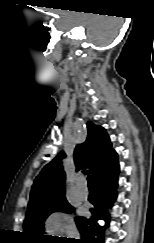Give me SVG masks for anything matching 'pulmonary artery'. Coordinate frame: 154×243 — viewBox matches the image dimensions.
I'll return each mask as SVG.
<instances>
[{
  "mask_svg": "<svg viewBox=\"0 0 154 243\" xmlns=\"http://www.w3.org/2000/svg\"><path fill=\"white\" fill-rule=\"evenodd\" d=\"M76 195L80 199H86L87 196H88V190H87V188H85L84 186L78 185L76 187Z\"/></svg>",
  "mask_w": 154,
  "mask_h": 243,
  "instance_id": "pulmonary-artery-1",
  "label": "pulmonary artery"
}]
</instances>
